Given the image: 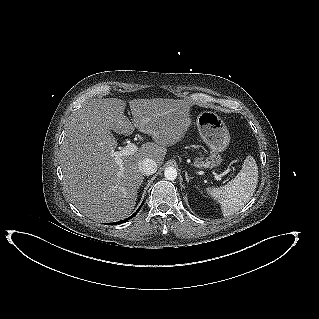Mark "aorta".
I'll list each match as a JSON object with an SVG mask.
<instances>
[{
  "instance_id": "1",
  "label": "aorta",
  "mask_w": 319,
  "mask_h": 319,
  "mask_svg": "<svg viewBox=\"0 0 319 319\" xmlns=\"http://www.w3.org/2000/svg\"><path fill=\"white\" fill-rule=\"evenodd\" d=\"M164 176L167 180L173 181L177 178V170L174 167H168L164 171Z\"/></svg>"
}]
</instances>
